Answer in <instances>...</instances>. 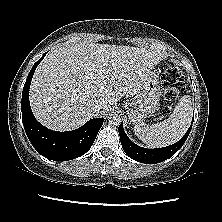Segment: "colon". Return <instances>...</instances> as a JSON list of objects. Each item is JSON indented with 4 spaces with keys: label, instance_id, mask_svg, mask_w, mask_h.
Listing matches in <instances>:
<instances>
[{
    "label": "colon",
    "instance_id": "colon-1",
    "mask_svg": "<svg viewBox=\"0 0 222 222\" xmlns=\"http://www.w3.org/2000/svg\"><path fill=\"white\" fill-rule=\"evenodd\" d=\"M164 96L167 99L176 98L184 90V79L180 70L168 65L162 75Z\"/></svg>",
    "mask_w": 222,
    "mask_h": 222
}]
</instances>
